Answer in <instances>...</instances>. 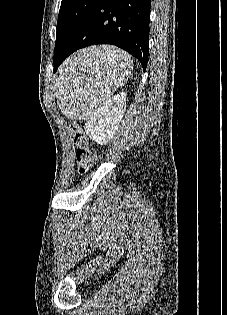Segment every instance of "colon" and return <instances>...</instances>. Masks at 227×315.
Masks as SVG:
<instances>
[{
    "label": "colon",
    "mask_w": 227,
    "mask_h": 315,
    "mask_svg": "<svg viewBox=\"0 0 227 315\" xmlns=\"http://www.w3.org/2000/svg\"><path fill=\"white\" fill-rule=\"evenodd\" d=\"M70 131L73 136L76 150V164L80 174L88 172L96 162V155L89 146V140L81 128L79 122L73 121L70 124Z\"/></svg>",
    "instance_id": "1"
}]
</instances>
